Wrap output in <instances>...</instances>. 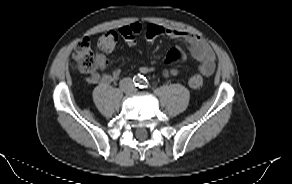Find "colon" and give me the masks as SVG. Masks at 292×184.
<instances>
[{"label": "colon", "instance_id": "5ec220e1", "mask_svg": "<svg viewBox=\"0 0 292 184\" xmlns=\"http://www.w3.org/2000/svg\"><path fill=\"white\" fill-rule=\"evenodd\" d=\"M145 39L151 46L157 43L162 35V28L159 25L150 24L145 29ZM118 40V34L110 31L99 38L97 41V50L100 53L111 51ZM75 67L82 72H91L96 68V56L91 48L88 38H83L77 42L74 52ZM182 58V52L178 48H172L167 53L164 62L166 64L175 63ZM189 85L195 89H201L204 86V80L200 75H192L188 80Z\"/></svg>", "mask_w": 292, "mask_h": 184}]
</instances>
